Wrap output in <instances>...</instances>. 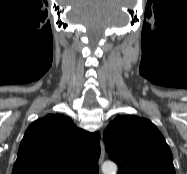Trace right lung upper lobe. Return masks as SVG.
Segmentation results:
<instances>
[{
    "label": "right lung upper lobe",
    "mask_w": 187,
    "mask_h": 174,
    "mask_svg": "<svg viewBox=\"0 0 187 174\" xmlns=\"http://www.w3.org/2000/svg\"><path fill=\"white\" fill-rule=\"evenodd\" d=\"M99 139L69 117L49 114L26 130L12 174H83L100 156Z\"/></svg>",
    "instance_id": "cb5924a9"
}]
</instances>
